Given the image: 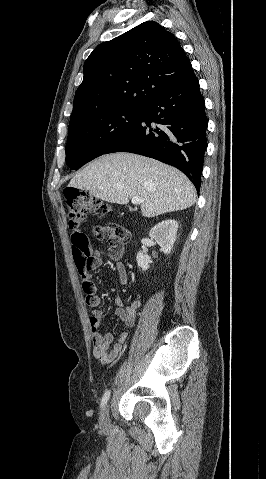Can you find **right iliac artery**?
<instances>
[{
  "mask_svg": "<svg viewBox=\"0 0 266 479\" xmlns=\"http://www.w3.org/2000/svg\"><path fill=\"white\" fill-rule=\"evenodd\" d=\"M109 397H110V390H107L102 397L101 408H103L106 405L107 401L109 400Z\"/></svg>",
  "mask_w": 266,
  "mask_h": 479,
  "instance_id": "82829eb1",
  "label": "right iliac artery"
}]
</instances>
